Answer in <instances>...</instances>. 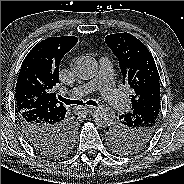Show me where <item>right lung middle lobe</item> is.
Returning <instances> with one entry per match:
<instances>
[{"mask_svg":"<svg viewBox=\"0 0 184 184\" xmlns=\"http://www.w3.org/2000/svg\"><path fill=\"white\" fill-rule=\"evenodd\" d=\"M74 138V129H67L65 132V136L63 137V140L61 142V145H59L57 148H47L44 150H41L40 152L46 156L54 157V156H61L65 153H67L73 143Z\"/></svg>","mask_w":184,"mask_h":184,"instance_id":"dd1d6c3e","label":"right lung middle lobe"}]
</instances>
